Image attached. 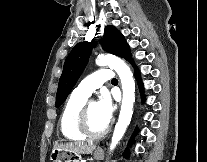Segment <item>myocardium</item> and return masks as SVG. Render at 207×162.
Masks as SVG:
<instances>
[{"label":"myocardium","mask_w":207,"mask_h":162,"mask_svg":"<svg viewBox=\"0 0 207 162\" xmlns=\"http://www.w3.org/2000/svg\"><path fill=\"white\" fill-rule=\"evenodd\" d=\"M93 102L95 101L87 100L82 106V108L80 109L77 117V129L83 136L87 138L97 139V138H101L108 132L109 126L107 125L104 129L98 132H94L91 130L89 126L88 115H89V108Z\"/></svg>","instance_id":"myocardium-1"}]
</instances>
